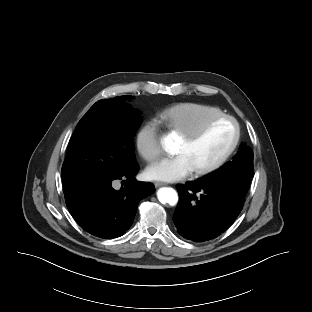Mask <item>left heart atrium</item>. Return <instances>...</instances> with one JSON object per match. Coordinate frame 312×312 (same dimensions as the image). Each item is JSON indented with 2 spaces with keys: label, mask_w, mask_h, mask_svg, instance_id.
<instances>
[{
  "label": "left heart atrium",
  "mask_w": 312,
  "mask_h": 312,
  "mask_svg": "<svg viewBox=\"0 0 312 312\" xmlns=\"http://www.w3.org/2000/svg\"><path fill=\"white\" fill-rule=\"evenodd\" d=\"M193 171L188 157L180 153L155 162L146 169L145 176L153 181L174 182L188 177Z\"/></svg>",
  "instance_id": "39dd6f15"
}]
</instances>
